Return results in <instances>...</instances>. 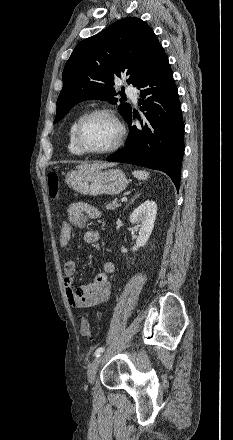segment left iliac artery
<instances>
[{"label": "left iliac artery", "mask_w": 233, "mask_h": 440, "mask_svg": "<svg viewBox=\"0 0 233 440\" xmlns=\"http://www.w3.org/2000/svg\"><path fill=\"white\" fill-rule=\"evenodd\" d=\"M103 351H104V347H99V348L95 351L94 356H95V357H99L100 354H101Z\"/></svg>", "instance_id": "44dca946"}]
</instances>
